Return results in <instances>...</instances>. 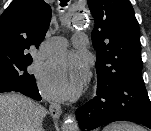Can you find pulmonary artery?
<instances>
[{"instance_id":"obj_1","label":"pulmonary artery","mask_w":151,"mask_h":131,"mask_svg":"<svg viewBox=\"0 0 151 131\" xmlns=\"http://www.w3.org/2000/svg\"><path fill=\"white\" fill-rule=\"evenodd\" d=\"M73 44L77 48H84L87 45V37L83 33H77L73 36ZM65 46V40L63 38H54L48 41L42 48L41 53L43 55L54 52Z\"/></svg>"}]
</instances>
